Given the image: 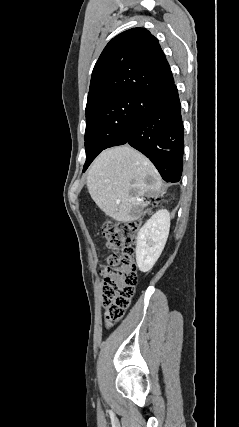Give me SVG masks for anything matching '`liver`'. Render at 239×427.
<instances>
[{"mask_svg": "<svg viewBox=\"0 0 239 427\" xmlns=\"http://www.w3.org/2000/svg\"><path fill=\"white\" fill-rule=\"evenodd\" d=\"M87 187L106 215L125 223L137 219L146 206L144 196H156L163 182L145 156L123 145L103 151L94 160L88 171Z\"/></svg>", "mask_w": 239, "mask_h": 427, "instance_id": "1", "label": "liver"}]
</instances>
